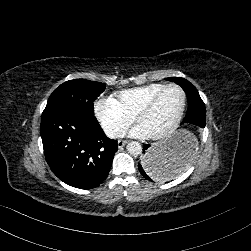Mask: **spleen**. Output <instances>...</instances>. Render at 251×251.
<instances>
[{
  "label": "spleen",
  "mask_w": 251,
  "mask_h": 251,
  "mask_svg": "<svg viewBox=\"0 0 251 251\" xmlns=\"http://www.w3.org/2000/svg\"><path fill=\"white\" fill-rule=\"evenodd\" d=\"M187 161H188V159L186 158L184 161H183V165H187ZM176 170H173L172 172H166V173H163V174H161V173H159V172H156V174H157V177H156V179L157 180H159V181H165V180H167L169 177V175L171 174V173H173V174H171V175H176Z\"/></svg>",
  "instance_id": "obj_1"
}]
</instances>
